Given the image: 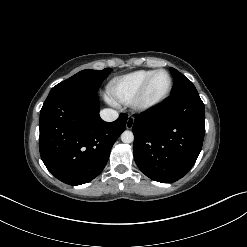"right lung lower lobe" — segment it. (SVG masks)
<instances>
[{"instance_id":"1","label":"right lung lower lobe","mask_w":247,"mask_h":247,"mask_svg":"<svg viewBox=\"0 0 247 247\" xmlns=\"http://www.w3.org/2000/svg\"><path fill=\"white\" fill-rule=\"evenodd\" d=\"M126 122L125 114L114 122L101 120L97 93H51L40 111L42 161L57 179L66 184L87 183L103 170Z\"/></svg>"}]
</instances>
